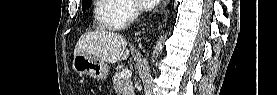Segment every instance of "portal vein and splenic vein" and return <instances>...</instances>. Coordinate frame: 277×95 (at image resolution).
I'll use <instances>...</instances> for the list:
<instances>
[{"mask_svg": "<svg viewBox=\"0 0 277 95\" xmlns=\"http://www.w3.org/2000/svg\"><path fill=\"white\" fill-rule=\"evenodd\" d=\"M121 78L129 79L132 76V72L130 70L124 69L120 73Z\"/></svg>", "mask_w": 277, "mask_h": 95, "instance_id": "18ae733b", "label": "portal vein and splenic vein"}]
</instances>
